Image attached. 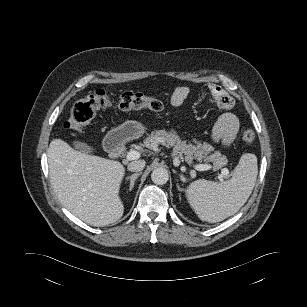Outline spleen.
Here are the masks:
<instances>
[{"mask_svg":"<svg viewBox=\"0 0 307 307\" xmlns=\"http://www.w3.org/2000/svg\"><path fill=\"white\" fill-rule=\"evenodd\" d=\"M257 157L251 153L241 156L230 180L216 183L205 179L192 182L186 198L199 219L220 222L234 215L246 203L256 183Z\"/></svg>","mask_w":307,"mask_h":307,"instance_id":"3e777b00","label":"spleen"}]
</instances>
